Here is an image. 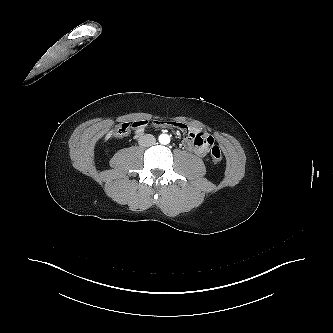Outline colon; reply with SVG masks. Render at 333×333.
<instances>
[{"mask_svg":"<svg viewBox=\"0 0 333 333\" xmlns=\"http://www.w3.org/2000/svg\"><path fill=\"white\" fill-rule=\"evenodd\" d=\"M131 127H133V124L132 125L130 123L120 124L114 132L115 137L117 138L127 137L131 132ZM211 161L214 164H218L222 161V152L217 145H213L211 148Z\"/></svg>","mask_w":333,"mask_h":333,"instance_id":"5ec220e1","label":"colon"}]
</instances>
